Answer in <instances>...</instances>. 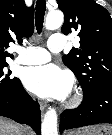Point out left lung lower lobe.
I'll use <instances>...</instances> for the list:
<instances>
[{"label":"left lung lower lobe","instance_id":"0a47b994","mask_svg":"<svg viewBox=\"0 0 112 135\" xmlns=\"http://www.w3.org/2000/svg\"><path fill=\"white\" fill-rule=\"evenodd\" d=\"M98 123H112V82L96 86L76 109L65 110L60 117V132Z\"/></svg>","mask_w":112,"mask_h":135}]
</instances>
